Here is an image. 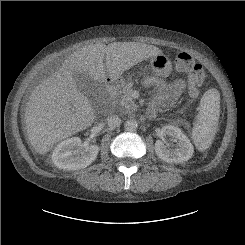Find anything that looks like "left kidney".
<instances>
[{
    "label": "left kidney",
    "instance_id": "1",
    "mask_svg": "<svg viewBox=\"0 0 245 245\" xmlns=\"http://www.w3.org/2000/svg\"><path fill=\"white\" fill-rule=\"evenodd\" d=\"M167 136L177 142V146L171 149L166 147L161 140H157L155 143V152L158 158L167 163H181L192 157L194 152L193 145L180 128L172 125L163 126L159 132V137L163 138Z\"/></svg>",
    "mask_w": 245,
    "mask_h": 245
}]
</instances>
